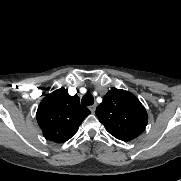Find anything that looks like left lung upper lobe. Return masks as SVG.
Wrapping results in <instances>:
<instances>
[{
  "label": "left lung upper lobe",
  "mask_w": 181,
  "mask_h": 181,
  "mask_svg": "<svg viewBox=\"0 0 181 181\" xmlns=\"http://www.w3.org/2000/svg\"><path fill=\"white\" fill-rule=\"evenodd\" d=\"M96 115L105 129L122 141L138 137L146 128L148 115L132 93L112 88L96 108Z\"/></svg>",
  "instance_id": "left-lung-upper-lobe-1"
}]
</instances>
